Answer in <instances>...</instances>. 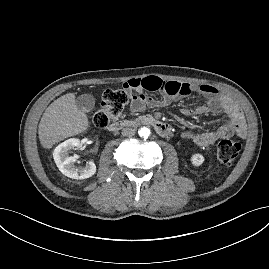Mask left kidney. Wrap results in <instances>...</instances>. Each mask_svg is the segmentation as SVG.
Listing matches in <instances>:
<instances>
[{
  "instance_id": "5707ae66",
  "label": "left kidney",
  "mask_w": 269,
  "mask_h": 269,
  "mask_svg": "<svg viewBox=\"0 0 269 269\" xmlns=\"http://www.w3.org/2000/svg\"><path fill=\"white\" fill-rule=\"evenodd\" d=\"M190 161H191L193 166H200L203 164L205 159H204L203 155H201L199 153H195L191 156Z\"/></svg>"
}]
</instances>
